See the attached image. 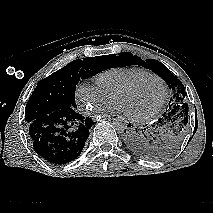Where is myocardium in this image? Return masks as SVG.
Here are the masks:
<instances>
[{
    "mask_svg": "<svg viewBox=\"0 0 213 213\" xmlns=\"http://www.w3.org/2000/svg\"><path fill=\"white\" fill-rule=\"evenodd\" d=\"M148 77L155 78L160 82V84L162 86V91H163L162 98L159 101V103L152 110H150L149 112H147L145 114L138 115V116L127 114V116L133 121L148 120V119L152 118L153 116H155L160 111V109L162 108L163 104L165 103V100L168 95L167 85H166L165 81L163 80V78L152 72L139 75V76L133 78L132 80H130L129 82H127L126 84H124L123 86H121L119 89H117L112 96V99L114 101H116V99L119 95L129 91L130 89L135 87L138 83H140L142 80H144L145 78H148Z\"/></svg>",
    "mask_w": 213,
    "mask_h": 213,
    "instance_id": "f54148a6",
    "label": "myocardium"
}]
</instances>
